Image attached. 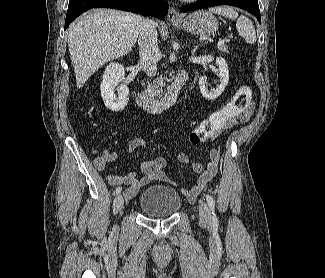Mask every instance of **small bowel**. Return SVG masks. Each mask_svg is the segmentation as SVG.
Listing matches in <instances>:
<instances>
[{
  "label": "small bowel",
  "mask_w": 325,
  "mask_h": 278,
  "mask_svg": "<svg viewBox=\"0 0 325 278\" xmlns=\"http://www.w3.org/2000/svg\"><path fill=\"white\" fill-rule=\"evenodd\" d=\"M252 112L253 106L251 105L250 108L243 111L238 117L233 119L231 122L238 120L241 123H245L249 120ZM146 144L147 141L142 138L134 139L130 143L128 151L133 152L136 148L140 146H145ZM220 153V147L215 146L210 150L209 160L207 164L202 165L201 163H194L192 165V171L195 174H198V178L196 184L193 187L182 189V192L185 195L189 197H195L207 187V185L210 183L217 171L220 160ZM116 158L117 153L115 151L104 149L102 154L95 158L94 164L99 170H104L107 164L114 161ZM178 161L182 164H188L190 162V158L186 153H181L178 155ZM166 164L167 160L164 157H157L142 163L141 171L143 175L141 177H138L135 172L129 171L121 175H108L107 181L111 185H127L126 189L123 192V195L124 198L128 201L136 196L141 187L147 186L152 182H170L168 176L163 171Z\"/></svg>",
  "instance_id": "small-bowel-1"
}]
</instances>
